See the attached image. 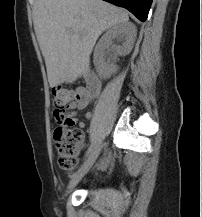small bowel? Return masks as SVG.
I'll use <instances>...</instances> for the list:
<instances>
[{
	"mask_svg": "<svg viewBox=\"0 0 202 217\" xmlns=\"http://www.w3.org/2000/svg\"><path fill=\"white\" fill-rule=\"evenodd\" d=\"M78 94L80 95V99L78 100L77 103H75L74 105L71 106V112L69 114L70 120L73 124H77V126L79 128H83L85 126V123L83 121H77L76 118V112L75 110H82L84 108H86L88 105L91 104V102L93 101V99L98 95H89L87 93L86 88L84 87H80L77 89ZM92 114L90 112H87L85 114V119L89 120L91 119ZM112 162V156L108 155L106 156L104 159H102V161L100 162V168L101 169H106L110 163Z\"/></svg>",
	"mask_w": 202,
	"mask_h": 217,
	"instance_id": "1",
	"label": "small bowel"
}]
</instances>
